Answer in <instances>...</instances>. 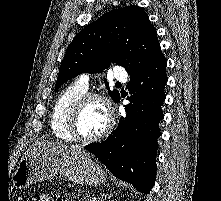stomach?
Instances as JSON below:
<instances>
[{
	"label": "stomach",
	"mask_w": 221,
	"mask_h": 201,
	"mask_svg": "<svg viewBox=\"0 0 221 201\" xmlns=\"http://www.w3.org/2000/svg\"><path fill=\"white\" fill-rule=\"evenodd\" d=\"M58 174L81 185L98 186L105 180V172L89 154L56 156L42 153L22 158L11 180L14 187L22 189Z\"/></svg>",
	"instance_id": "stomach-1"
}]
</instances>
